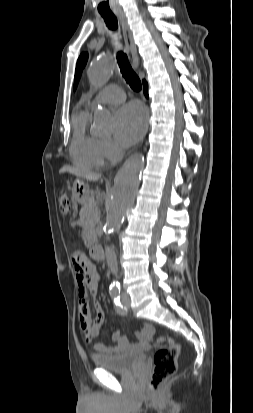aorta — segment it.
<instances>
[{
	"label": "aorta",
	"mask_w": 253,
	"mask_h": 413,
	"mask_svg": "<svg viewBox=\"0 0 253 413\" xmlns=\"http://www.w3.org/2000/svg\"><path fill=\"white\" fill-rule=\"evenodd\" d=\"M115 70V63L110 56L95 60L88 69V78L92 86L102 88L109 81ZM95 128L101 132H108L112 128V114L109 110L98 107L94 112ZM144 167V158L137 154L130 157L119 170L113 193L107 204L105 228L108 233L119 230L125 212L132 206L138 190L141 171ZM116 282L111 284L117 289Z\"/></svg>",
	"instance_id": "1"
}]
</instances>
